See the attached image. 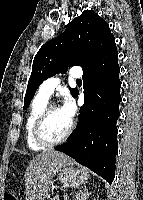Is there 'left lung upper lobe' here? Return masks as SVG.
Returning <instances> with one entry per match:
<instances>
[{
	"label": "left lung upper lobe",
	"instance_id": "left-lung-upper-lobe-1",
	"mask_svg": "<svg viewBox=\"0 0 143 200\" xmlns=\"http://www.w3.org/2000/svg\"><path fill=\"white\" fill-rule=\"evenodd\" d=\"M114 39L109 25L94 11L85 10L73 19L63 34L46 42L35 55L25 98L26 109L39 85L68 66H89L104 47ZM72 95L77 92L70 88Z\"/></svg>",
	"mask_w": 143,
	"mask_h": 200
}]
</instances>
